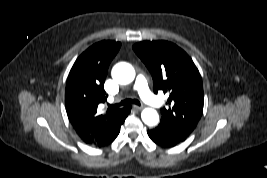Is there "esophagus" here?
Instances as JSON below:
<instances>
[{
	"label": "esophagus",
	"instance_id": "1",
	"mask_svg": "<svg viewBox=\"0 0 267 178\" xmlns=\"http://www.w3.org/2000/svg\"><path fill=\"white\" fill-rule=\"evenodd\" d=\"M136 110H142L144 108V106H137V105H134L133 106Z\"/></svg>",
	"mask_w": 267,
	"mask_h": 178
}]
</instances>
